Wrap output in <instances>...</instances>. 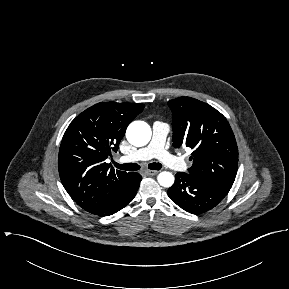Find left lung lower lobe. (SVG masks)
Here are the masks:
<instances>
[{
  "label": "left lung lower lobe",
  "instance_id": "obj_1",
  "mask_svg": "<svg viewBox=\"0 0 289 289\" xmlns=\"http://www.w3.org/2000/svg\"><path fill=\"white\" fill-rule=\"evenodd\" d=\"M229 190L190 173L178 172L175 175V183L167 193L183 210L192 214H202L217 206Z\"/></svg>",
  "mask_w": 289,
  "mask_h": 289
}]
</instances>
